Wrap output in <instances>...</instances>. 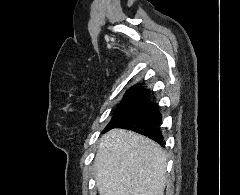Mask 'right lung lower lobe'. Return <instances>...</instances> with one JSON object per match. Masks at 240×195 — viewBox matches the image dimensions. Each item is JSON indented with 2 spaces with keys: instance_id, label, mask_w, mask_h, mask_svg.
<instances>
[{
  "instance_id": "1",
  "label": "right lung lower lobe",
  "mask_w": 240,
  "mask_h": 195,
  "mask_svg": "<svg viewBox=\"0 0 240 195\" xmlns=\"http://www.w3.org/2000/svg\"><path fill=\"white\" fill-rule=\"evenodd\" d=\"M161 119L162 116L157 111L156 104L151 103L147 98L140 108L109 129L115 127L131 129L161 144L163 140L162 133L159 130Z\"/></svg>"
}]
</instances>
